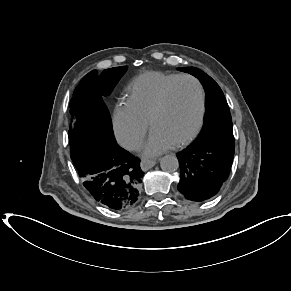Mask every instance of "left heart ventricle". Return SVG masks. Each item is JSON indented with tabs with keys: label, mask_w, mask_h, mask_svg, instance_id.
Returning <instances> with one entry per match:
<instances>
[{
	"label": "left heart ventricle",
	"mask_w": 291,
	"mask_h": 291,
	"mask_svg": "<svg viewBox=\"0 0 291 291\" xmlns=\"http://www.w3.org/2000/svg\"><path fill=\"white\" fill-rule=\"evenodd\" d=\"M199 109L200 96L196 84L191 80H181L171 90L167 106L155 119L152 130L176 144L195 128Z\"/></svg>",
	"instance_id": "1"
}]
</instances>
